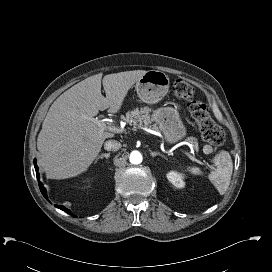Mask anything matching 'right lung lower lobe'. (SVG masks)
Instances as JSON below:
<instances>
[{"instance_id":"right-lung-lower-lobe-1","label":"right lung lower lobe","mask_w":272,"mask_h":272,"mask_svg":"<svg viewBox=\"0 0 272 272\" xmlns=\"http://www.w3.org/2000/svg\"><path fill=\"white\" fill-rule=\"evenodd\" d=\"M34 165H35V170H36V175H37V179H38V183H39V186H40V191L42 193V195L47 199V192H46V189L45 187L42 185V183L40 182V177H39V173H38V166L36 164V160H34ZM57 208L61 209V210H64L65 212H67L68 214L72 215L73 217H76L75 215H73L71 213V211L67 208H65L64 206H58L57 205Z\"/></svg>"}]
</instances>
